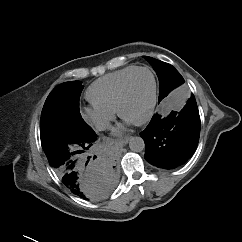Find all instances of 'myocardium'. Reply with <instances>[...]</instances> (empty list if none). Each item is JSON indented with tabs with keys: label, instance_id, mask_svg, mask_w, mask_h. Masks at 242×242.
Listing matches in <instances>:
<instances>
[{
	"label": "myocardium",
	"instance_id": "myocardium-1",
	"mask_svg": "<svg viewBox=\"0 0 242 242\" xmlns=\"http://www.w3.org/2000/svg\"><path fill=\"white\" fill-rule=\"evenodd\" d=\"M141 71H146L148 72L151 77H152V82H153V91H152V96H151V101L148 107V110L146 112V114L139 120L133 122V124L135 125H143L145 123H147L153 116L154 111H155V107L157 104V97H158V82H157V78L155 73L153 72V70H151L148 67H137L135 68L124 80V82L122 83V86L120 88L119 91V95H118V99H117V106H116V111L118 113V115L121 118H124L123 114H122V106L125 102L126 96H127V92H128V87H129V83L132 79V77Z\"/></svg>",
	"mask_w": 242,
	"mask_h": 242
}]
</instances>
